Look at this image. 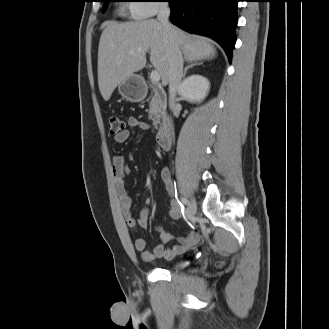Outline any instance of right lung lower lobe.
Wrapping results in <instances>:
<instances>
[{
    "label": "right lung lower lobe",
    "mask_w": 329,
    "mask_h": 329,
    "mask_svg": "<svg viewBox=\"0 0 329 329\" xmlns=\"http://www.w3.org/2000/svg\"><path fill=\"white\" fill-rule=\"evenodd\" d=\"M170 20L181 29L211 37L232 58L236 37L237 3L240 0H167Z\"/></svg>",
    "instance_id": "98d812e1"
}]
</instances>
